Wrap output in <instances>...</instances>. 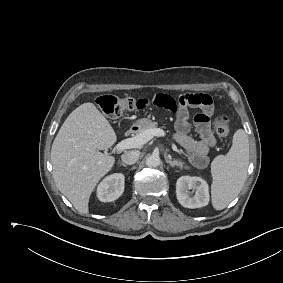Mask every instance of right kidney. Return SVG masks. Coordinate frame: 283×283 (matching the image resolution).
<instances>
[{"instance_id": "ca27d5eb", "label": "right kidney", "mask_w": 283, "mask_h": 283, "mask_svg": "<svg viewBox=\"0 0 283 283\" xmlns=\"http://www.w3.org/2000/svg\"><path fill=\"white\" fill-rule=\"evenodd\" d=\"M124 191V175L121 173L107 176L97 188L98 199L111 202L118 199Z\"/></svg>"}]
</instances>
